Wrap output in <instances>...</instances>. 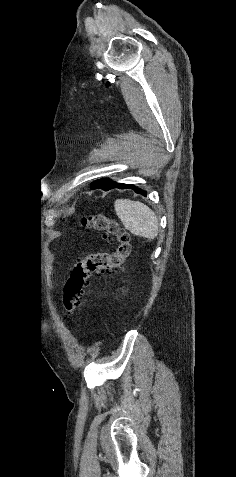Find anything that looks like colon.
Wrapping results in <instances>:
<instances>
[{
    "mask_svg": "<svg viewBox=\"0 0 236 477\" xmlns=\"http://www.w3.org/2000/svg\"><path fill=\"white\" fill-rule=\"evenodd\" d=\"M82 226L116 240L117 247L113 252L89 254L73 267L64 286V308L69 317L80 307L90 278L120 268L131 253L129 235L115 219L96 213L85 217Z\"/></svg>",
    "mask_w": 236,
    "mask_h": 477,
    "instance_id": "obj_1",
    "label": "colon"
}]
</instances>
